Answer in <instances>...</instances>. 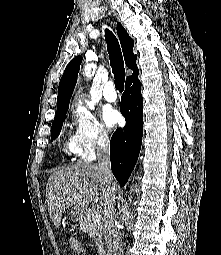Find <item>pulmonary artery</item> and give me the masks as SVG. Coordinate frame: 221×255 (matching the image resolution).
<instances>
[{
	"label": "pulmonary artery",
	"instance_id": "1",
	"mask_svg": "<svg viewBox=\"0 0 221 255\" xmlns=\"http://www.w3.org/2000/svg\"><path fill=\"white\" fill-rule=\"evenodd\" d=\"M103 96L109 102H114L117 99L115 85L112 81L106 82L103 88Z\"/></svg>",
	"mask_w": 221,
	"mask_h": 255
}]
</instances>
